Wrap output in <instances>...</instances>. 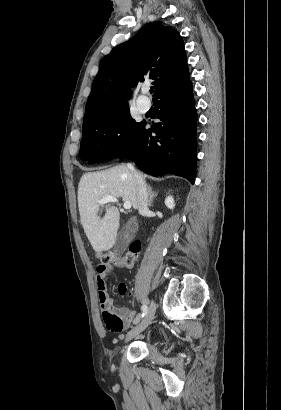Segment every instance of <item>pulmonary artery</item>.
Instances as JSON below:
<instances>
[{"label": "pulmonary artery", "instance_id": "e3ab8cb5", "mask_svg": "<svg viewBox=\"0 0 281 410\" xmlns=\"http://www.w3.org/2000/svg\"><path fill=\"white\" fill-rule=\"evenodd\" d=\"M148 91V86H143L141 88V93L139 95V97L137 98V107L139 108V110L141 112H147L150 109L151 103L149 101L148 98H146L144 95L147 93Z\"/></svg>", "mask_w": 281, "mask_h": 410}]
</instances>
